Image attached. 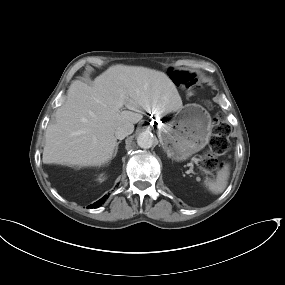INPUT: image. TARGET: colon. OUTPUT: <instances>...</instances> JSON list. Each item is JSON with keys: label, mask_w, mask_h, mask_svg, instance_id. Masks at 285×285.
I'll list each match as a JSON object with an SVG mask.
<instances>
[{"label": "colon", "mask_w": 285, "mask_h": 285, "mask_svg": "<svg viewBox=\"0 0 285 285\" xmlns=\"http://www.w3.org/2000/svg\"><path fill=\"white\" fill-rule=\"evenodd\" d=\"M173 76L174 82L178 84L181 79L187 77V74L174 71ZM206 106L210 105L206 103ZM229 131L230 126L227 123L220 119L215 120L214 133L210 139L208 150L200 158L201 166L205 167L209 171L216 170L220 166L217 157L226 153L229 149L227 139Z\"/></svg>", "instance_id": "obj_1"}]
</instances>
